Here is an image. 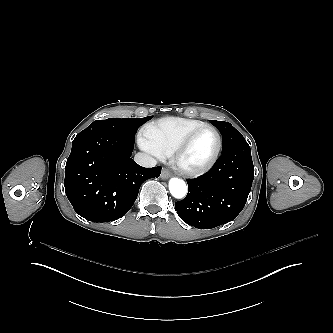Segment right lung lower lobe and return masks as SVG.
<instances>
[{"label":"right lung lower lobe","mask_w":333,"mask_h":333,"mask_svg":"<svg viewBox=\"0 0 333 333\" xmlns=\"http://www.w3.org/2000/svg\"><path fill=\"white\" fill-rule=\"evenodd\" d=\"M134 139L105 131L79 133L65 167V192L75 212L93 222L114 221L133 206L141 184L161 167L131 158Z\"/></svg>","instance_id":"1"}]
</instances>
